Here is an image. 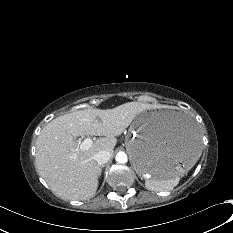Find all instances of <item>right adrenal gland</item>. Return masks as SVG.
<instances>
[{
  "label": "right adrenal gland",
  "mask_w": 233,
  "mask_h": 233,
  "mask_svg": "<svg viewBox=\"0 0 233 233\" xmlns=\"http://www.w3.org/2000/svg\"><path fill=\"white\" fill-rule=\"evenodd\" d=\"M99 167H100V169H101V171H102V168L105 167V165H100Z\"/></svg>",
  "instance_id": "1"
}]
</instances>
